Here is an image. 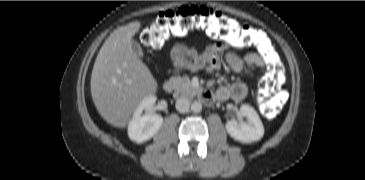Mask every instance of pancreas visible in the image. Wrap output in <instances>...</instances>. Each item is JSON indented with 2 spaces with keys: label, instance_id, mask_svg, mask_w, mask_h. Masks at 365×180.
Returning a JSON list of instances; mask_svg holds the SVG:
<instances>
[{
  "label": "pancreas",
  "instance_id": "1",
  "mask_svg": "<svg viewBox=\"0 0 365 180\" xmlns=\"http://www.w3.org/2000/svg\"><path fill=\"white\" fill-rule=\"evenodd\" d=\"M170 81L174 84L176 93H180L184 96H194L198 93L199 89L192 86L188 77H171Z\"/></svg>",
  "mask_w": 365,
  "mask_h": 180
}]
</instances>
